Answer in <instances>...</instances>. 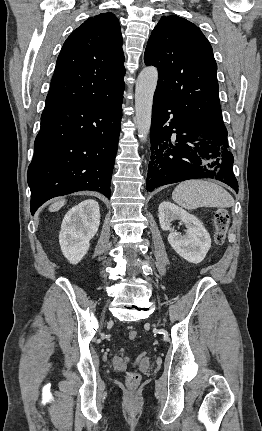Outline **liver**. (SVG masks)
Listing matches in <instances>:
<instances>
[{
    "label": "liver",
    "mask_w": 262,
    "mask_h": 431,
    "mask_svg": "<svg viewBox=\"0 0 262 431\" xmlns=\"http://www.w3.org/2000/svg\"><path fill=\"white\" fill-rule=\"evenodd\" d=\"M65 202H66V201H65L64 199H61V200H59V201L54 202V203L49 207V211H50V212H55V211L60 210V209L64 206Z\"/></svg>",
    "instance_id": "obj_1"
}]
</instances>
